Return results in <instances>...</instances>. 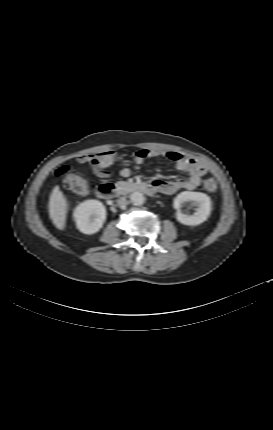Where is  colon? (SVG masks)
Masks as SVG:
<instances>
[{
	"label": "colon",
	"mask_w": 273,
	"mask_h": 430,
	"mask_svg": "<svg viewBox=\"0 0 273 430\" xmlns=\"http://www.w3.org/2000/svg\"><path fill=\"white\" fill-rule=\"evenodd\" d=\"M56 175L62 179L63 185L67 190L77 194H84L87 191V181L84 177L75 174L70 167L62 166L56 171ZM206 191L212 193L217 190V183L214 179L209 178L204 182Z\"/></svg>",
	"instance_id": "colon-1"
}]
</instances>
